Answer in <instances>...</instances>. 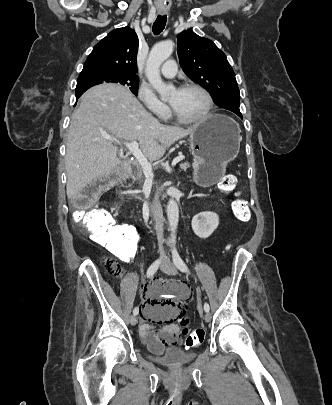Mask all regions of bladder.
Returning <instances> with one entry per match:
<instances>
[{"label": "bladder", "mask_w": 332, "mask_h": 405, "mask_svg": "<svg viewBox=\"0 0 332 405\" xmlns=\"http://www.w3.org/2000/svg\"><path fill=\"white\" fill-rule=\"evenodd\" d=\"M147 351L154 355L146 356L155 362L167 366H183L192 362L197 357V352L186 351L176 346L159 344V350L145 343Z\"/></svg>", "instance_id": "31cf9c89"}]
</instances>
